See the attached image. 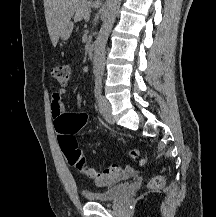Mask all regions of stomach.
Here are the masks:
<instances>
[{
    "label": "stomach",
    "mask_w": 216,
    "mask_h": 217,
    "mask_svg": "<svg viewBox=\"0 0 216 217\" xmlns=\"http://www.w3.org/2000/svg\"><path fill=\"white\" fill-rule=\"evenodd\" d=\"M72 30H73V23L70 22L68 25H66L64 30L61 32V35H60L61 38L63 40H67L70 37Z\"/></svg>",
    "instance_id": "0dacf381"
}]
</instances>
